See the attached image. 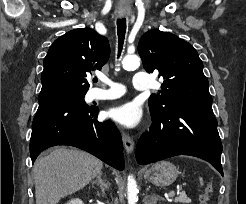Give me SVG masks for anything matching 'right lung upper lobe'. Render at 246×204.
<instances>
[{"label":"right lung upper lobe","instance_id":"cb5924a9","mask_svg":"<svg viewBox=\"0 0 246 204\" xmlns=\"http://www.w3.org/2000/svg\"><path fill=\"white\" fill-rule=\"evenodd\" d=\"M108 40L90 28L74 29L59 37L43 61L38 100L64 94L86 93V77L108 61Z\"/></svg>","mask_w":246,"mask_h":204}]
</instances>
